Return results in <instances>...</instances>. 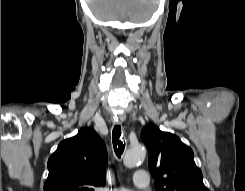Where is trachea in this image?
Here are the masks:
<instances>
[{"instance_id": "3493384b", "label": "trachea", "mask_w": 245, "mask_h": 191, "mask_svg": "<svg viewBox=\"0 0 245 191\" xmlns=\"http://www.w3.org/2000/svg\"><path fill=\"white\" fill-rule=\"evenodd\" d=\"M112 142L116 155L121 157L125 149V140L122 134L121 126L116 125L112 132Z\"/></svg>"}]
</instances>
